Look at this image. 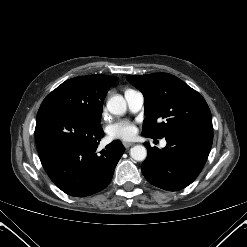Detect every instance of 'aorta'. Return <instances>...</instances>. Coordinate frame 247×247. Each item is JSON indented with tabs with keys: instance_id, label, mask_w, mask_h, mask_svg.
Segmentation results:
<instances>
[{
	"instance_id": "obj_1",
	"label": "aorta",
	"mask_w": 247,
	"mask_h": 247,
	"mask_svg": "<svg viewBox=\"0 0 247 247\" xmlns=\"http://www.w3.org/2000/svg\"><path fill=\"white\" fill-rule=\"evenodd\" d=\"M107 109L111 114L123 115L126 112V101L121 95L112 96L107 102ZM130 156L136 161H143L147 157V150L143 145H136L130 149Z\"/></svg>"
}]
</instances>
